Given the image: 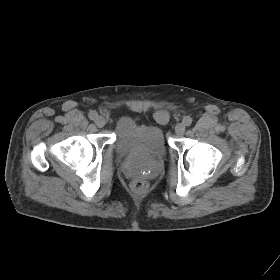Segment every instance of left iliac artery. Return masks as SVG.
<instances>
[{
  "label": "left iliac artery",
  "mask_w": 280,
  "mask_h": 280,
  "mask_svg": "<svg viewBox=\"0 0 280 280\" xmlns=\"http://www.w3.org/2000/svg\"><path fill=\"white\" fill-rule=\"evenodd\" d=\"M182 122L185 126H190L192 124V118L190 116H186L183 118Z\"/></svg>",
  "instance_id": "1"
}]
</instances>
